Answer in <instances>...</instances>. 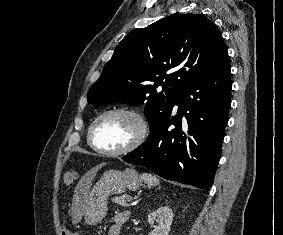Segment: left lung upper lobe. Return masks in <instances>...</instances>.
<instances>
[{
	"label": "left lung upper lobe",
	"mask_w": 283,
	"mask_h": 235,
	"mask_svg": "<svg viewBox=\"0 0 283 235\" xmlns=\"http://www.w3.org/2000/svg\"><path fill=\"white\" fill-rule=\"evenodd\" d=\"M228 58L221 32L212 21L200 14L169 16L131 32L118 44L89 90L88 102L94 107L145 105L152 131L170 114L185 84Z\"/></svg>",
	"instance_id": "5c2ea615"
}]
</instances>
